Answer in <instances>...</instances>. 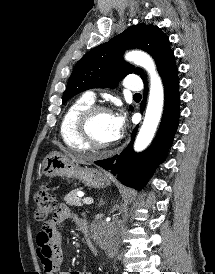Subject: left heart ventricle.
I'll return each instance as SVG.
<instances>
[{
  "instance_id": "b2bd125f",
  "label": "left heart ventricle",
  "mask_w": 215,
  "mask_h": 274,
  "mask_svg": "<svg viewBox=\"0 0 215 274\" xmlns=\"http://www.w3.org/2000/svg\"><path fill=\"white\" fill-rule=\"evenodd\" d=\"M91 131L99 143H109L115 140L112 126V115L109 113L98 114L91 125Z\"/></svg>"
}]
</instances>
